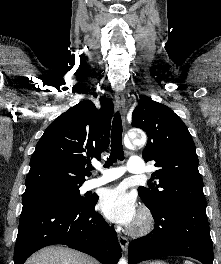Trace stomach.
I'll return each mask as SVG.
<instances>
[{"label":"stomach","mask_w":221,"mask_h":264,"mask_svg":"<svg viewBox=\"0 0 221 264\" xmlns=\"http://www.w3.org/2000/svg\"><path fill=\"white\" fill-rule=\"evenodd\" d=\"M149 264H167V263L164 261L157 260V261H152Z\"/></svg>","instance_id":"stomach-1"}]
</instances>
